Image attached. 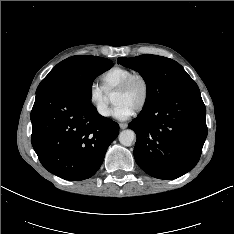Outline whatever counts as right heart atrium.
<instances>
[{
	"instance_id": "d8ad5b80",
	"label": "right heart atrium",
	"mask_w": 234,
	"mask_h": 234,
	"mask_svg": "<svg viewBox=\"0 0 234 234\" xmlns=\"http://www.w3.org/2000/svg\"><path fill=\"white\" fill-rule=\"evenodd\" d=\"M88 102L94 108L96 113L107 118L111 114V109L109 105V100L104 92V90L96 83H91L87 91Z\"/></svg>"
}]
</instances>
